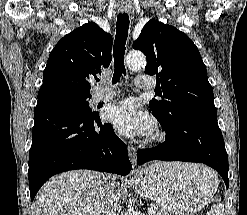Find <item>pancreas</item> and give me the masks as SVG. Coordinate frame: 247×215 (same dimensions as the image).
<instances>
[{
	"mask_svg": "<svg viewBox=\"0 0 247 215\" xmlns=\"http://www.w3.org/2000/svg\"><path fill=\"white\" fill-rule=\"evenodd\" d=\"M156 215H171L169 212L164 210H159L156 212Z\"/></svg>",
	"mask_w": 247,
	"mask_h": 215,
	"instance_id": "pancreas-1",
	"label": "pancreas"
}]
</instances>
